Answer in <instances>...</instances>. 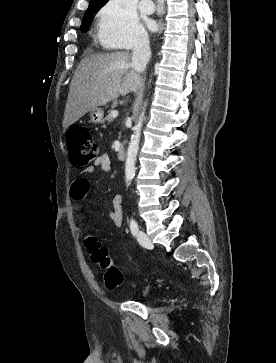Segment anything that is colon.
I'll return each instance as SVG.
<instances>
[{"instance_id":"colon-1","label":"colon","mask_w":276,"mask_h":363,"mask_svg":"<svg viewBox=\"0 0 276 363\" xmlns=\"http://www.w3.org/2000/svg\"><path fill=\"white\" fill-rule=\"evenodd\" d=\"M69 157L77 167L88 165L97 160L99 146L97 141L83 127H71L66 133ZM85 246L92 262L98 264L104 271V284L108 289H115L123 283L121 271L112 264L108 252L95 235L85 237Z\"/></svg>"}]
</instances>
